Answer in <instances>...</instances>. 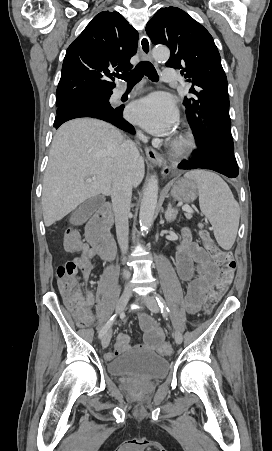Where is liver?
Returning <instances> with one entry per match:
<instances>
[{
    "label": "liver",
    "mask_w": 272,
    "mask_h": 451,
    "mask_svg": "<svg viewBox=\"0 0 272 451\" xmlns=\"http://www.w3.org/2000/svg\"><path fill=\"white\" fill-rule=\"evenodd\" d=\"M121 144L119 130L101 120L78 118L57 130L43 180L45 226L62 220L93 196H110L114 154ZM144 174V160L138 158L132 170L134 188L141 184ZM88 178L95 180L87 182Z\"/></svg>",
    "instance_id": "6515ba94"
}]
</instances>
